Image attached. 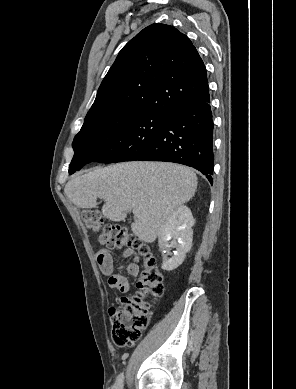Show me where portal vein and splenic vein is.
I'll use <instances>...</instances> for the list:
<instances>
[{
  "label": "portal vein and splenic vein",
  "instance_id": "portal-vein-and-splenic-vein-1",
  "mask_svg": "<svg viewBox=\"0 0 296 389\" xmlns=\"http://www.w3.org/2000/svg\"><path fill=\"white\" fill-rule=\"evenodd\" d=\"M133 213H134V214H136V213H137V211H136V210H133Z\"/></svg>",
  "mask_w": 296,
  "mask_h": 389
}]
</instances>
